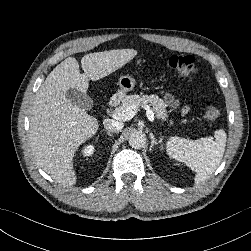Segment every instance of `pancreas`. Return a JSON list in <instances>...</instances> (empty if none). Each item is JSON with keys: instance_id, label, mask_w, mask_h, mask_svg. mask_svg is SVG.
<instances>
[{"instance_id": "obj_1", "label": "pancreas", "mask_w": 251, "mask_h": 251, "mask_svg": "<svg viewBox=\"0 0 251 251\" xmlns=\"http://www.w3.org/2000/svg\"><path fill=\"white\" fill-rule=\"evenodd\" d=\"M148 105L151 106L152 111L156 114V117L158 119L165 120L166 117L168 116V113L166 111V105L164 101L159 98L157 95H137V94H132V95H127L125 96L122 101H121V106H119V109H125L128 106L131 105H136V109L140 105Z\"/></svg>"}]
</instances>
